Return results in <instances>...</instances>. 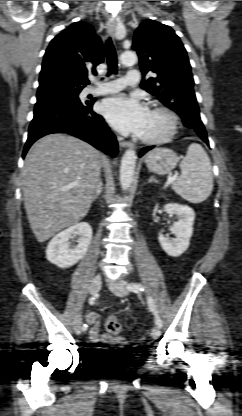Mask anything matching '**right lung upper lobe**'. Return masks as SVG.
Masks as SVG:
<instances>
[{
	"label": "right lung upper lobe",
	"mask_w": 242,
	"mask_h": 416,
	"mask_svg": "<svg viewBox=\"0 0 242 416\" xmlns=\"http://www.w3.org/2000/svg\"><path fill=\"white\" fill-rule=\"evenodd\" d=\"M104 60V48L93 27L84 22L71 24L58 34L44 55L37 98L60 89H82L88 72Z\"/></svg>",
	"instance_id": "1"
}]
</instances>
